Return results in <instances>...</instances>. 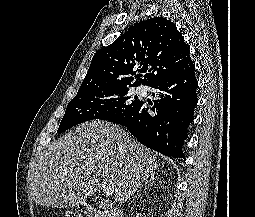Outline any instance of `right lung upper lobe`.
Wrapping results in <instances>:
<instances>
[{"label":"right lung upper lobe","mask_w":255,"mask_h":217,"mask_svg":"<svg viewBox=\"0 0 255 217\" xmlns=\"http://www.w3.org/2000/svg\"><path fill=\"white\" fill-rule=\"evenodd\" d=\"M189 59L176 25L163 17L151 18L95 53L78 92L149 85ZM137 72L146 74L142 78Z\"/></svg>","instance_id":"obj_1"}]
</instances>
